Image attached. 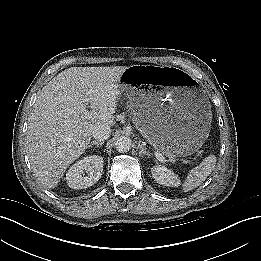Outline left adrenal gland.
I'll use <instances>...</instances> for the list:
<instances>
[{"label":"left adrenal gland","instance_id":"1","mask_svg":"<svg viewBox=\"0 0 261 261\" xmlns=\"http://www.w3.org/2000/svg\"><path fill=\"white\" fill-rule=\"evenodd\" d=\"M138 148H139V156H143V155H147L148 157L151 156V154L146 151V148L142 145V144H138Z\"/></svg>","mask_w":261,"mask_h":261}]
</instances>
